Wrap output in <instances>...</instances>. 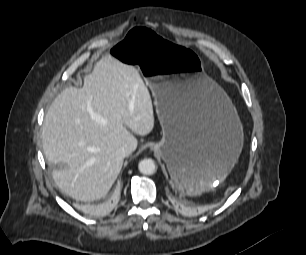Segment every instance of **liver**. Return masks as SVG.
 Returning a JSON list of instances; mask_svg holds the SVG:
<instances>
[{"label": "liver", "instance_id": "6515ba94", "mask_svg": "<svg viewBox=\"0 0 306 255\" xmlns=\"http://www.w3.org/2000/svg\"><path fill=\"white\" fill-rule=\"evenodd\" d=\"M153 128L152 99L138 70L104 56L83 87L64 89L45 115L41 137L47 160L58 166L55 183L76 200L103 198L123 165L119 148L137 147L129 130L145 136Z\"/></svg>", "mask_w": 306, "mask_h": 255}]
</instances>
